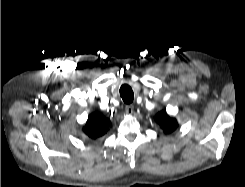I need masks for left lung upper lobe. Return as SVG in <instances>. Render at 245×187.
Wrapping results in <instances>:
<instances>
[{"label":"left lung upper lobe","mask_w":245,"mask_h":187,"mask_svg":"<svg viewBox=\"0 0 245 187\" xmlns=\"http://www.w3.org/2000/svg\"><path fill=\"white\" fill-rule=\"evenodd\" d=\"M155 121L161 126L165 133L173 132L178 126L176 119L168 116L165 111L159 112L155 116Z\"/></svg>","instance_id":"1"}]
</instances>
